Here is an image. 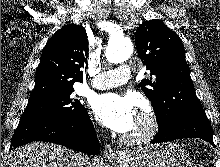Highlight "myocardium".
<instances>
[{
  "instance_id": "f54148a6",
  "label": "myocardium",
  "mask_w": 220,
  "mask_h": 167,
  "mask_svg": "<svg viewBox=\"0 0 220 167\" xmlns=\"http://www.w3.org/2000/svg\"><path fill=\"white\" fill-rule=\"evenodd\" d=\"M143 120L144 127L141 132L135 135H124L122 141L130 145H140L151 141L160 128L159 119L152 109L141 110L138 114Z\"/></svg>"
}]
</instances>
